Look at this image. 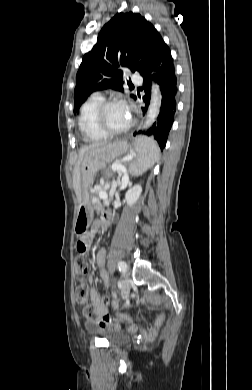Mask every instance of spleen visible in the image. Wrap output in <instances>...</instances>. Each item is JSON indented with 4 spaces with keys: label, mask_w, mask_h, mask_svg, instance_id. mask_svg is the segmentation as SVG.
<instances>
[{
    "label": "spleen",
    "mask_w": 252,
    "mask_h": 390,
    "mask_svg": "<svg viewBox=\"0 0 252 390\" xmlns=\"http://www.w3.org/2000/svg\"><path fill=\"white\" fill-rule=\"evenodd\" d=\"M137 159L129 165L131 175L139 176L151 168L159 158V150L152 138L142 137L135 145Z\"/></svg>",
    "instance_id": "obj_1"
}]
</instances>
